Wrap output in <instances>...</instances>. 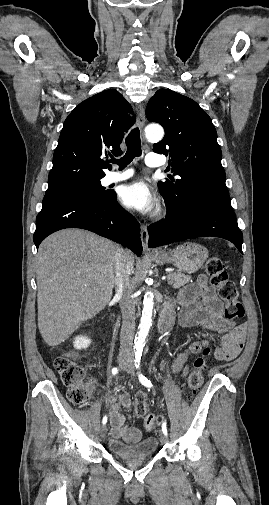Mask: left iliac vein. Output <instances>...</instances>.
Instances as JSON below:
<instances>
[{"label":"left iliac vein","mask_w":269,"mask_h":505,"mask_svg":"<svg viewBox=\"0 0 269 505\" xmlns=\"http://www.w3.org/2000/svg\"><path fill=\"white\" fill-rule=\"evenodd\" d=\"M122 369L127 371L133 378H136V372L134 369V364L131 358H128L127 361L124 363L122 366ZM160 441L162 444H165L168 442V437L164 433L160 434Z\"/></svg>","instance_id":"4c4485c4"}]
</instances>
